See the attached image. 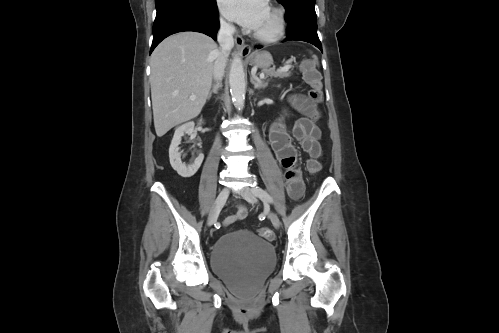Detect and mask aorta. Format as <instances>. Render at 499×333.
I'll use <instances>...</instances> for the list:
<instances>
[{"mask_svg": "<svg viewBox=\"0 0 499 333\" xmlns=\"http://www.w3.org/2000/svg\"><path fill=\"white\" fill-rule=\"evenodd\" d=\"M229 85L232 100L235 106L240 110L244 106L246 83L242 58L239 53L234 54L231 62Z\"/></svg>", "mask_w": 499, "mask_h": 333, "instance_id": "762f6f07", "label": "aorta"}]
</instances>
